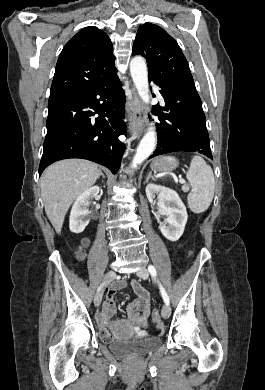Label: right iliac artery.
<instances>
[{
    "mask_svg": "<svg viewBox=\"0 0 265 390\" xmlns=\"http://www.w3.org/2000/svg\"><path fill=\"white\" fill-rule=\"evenodd\" d=\"M102 286H103V284L100 285V287L98 288V291L101 289Z\"/></svg>",
    "mask_w": 265,
    "mask_h": 390,
    "instance_id": "82829eb1",
    "label": "right iliac artery"
}]
</instances>
